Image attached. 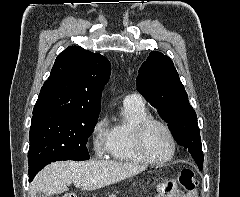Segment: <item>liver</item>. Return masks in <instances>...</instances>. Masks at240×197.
I'll return each instance as SVG.
<instances>
[{"label":"liver","instance_id":"liver-1","mask_svg":"<svg viewBox=\"0 0 240 197\" xmlns=\"http://www.w3.org/2000/svg\"><path fill=\"white\" fill-rule=\"evenodd\" d=\"M145 166L115 161L89 160L85 162L59 161L43 168L30 186V197L37 192L46 196L63 193L70 184L82 190H95L134 176Z\"/></svg>","mask_w":240,"mask_h":197}]
</instances>
